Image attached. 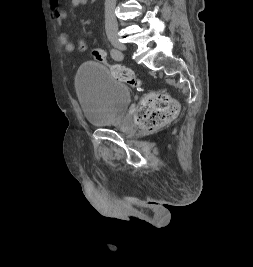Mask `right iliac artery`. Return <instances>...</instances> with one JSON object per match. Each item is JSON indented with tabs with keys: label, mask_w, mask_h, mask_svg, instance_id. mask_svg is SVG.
<instances>
[{
	"label": "right iliac artery",
	"mask_w": 253,
	"mask_h": 267,
	"mask_svg": "<svg viewBox=\"0 0 253 267\" xmlns=\"http://www.w3.org/2000/svg\"><path fill=\"white\" fill-rule=\"evenodd\" d=\"M111 57L116 61H121L123 59V54L117 49H111Z\"/></svg>",
	"instance_id": "obj_1"
}]
</instances>
